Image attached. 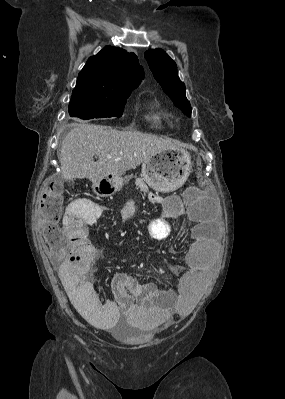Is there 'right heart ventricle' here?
<instances>
[{
    "mask_svg": "<svg viewBox=\"0 0 285 399\" xmlns=\"http://www.w3.org/2000/svg\"><path fill=\"white\" fill-rule=\"evenodd\" d=\"M148 112H149V119L154 123L159 124L161 121V116L159 111L157 110V106L155 104H150L148 106Z\"/></svg>",
    "mask_w": 285,
    "mask_h": 399,
    "instance_id": "e07e8e85",
    "label": "right heart ventricle"
}]
</instances>
